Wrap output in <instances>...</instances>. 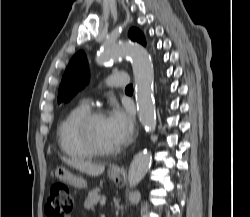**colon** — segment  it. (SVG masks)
<instances>
[{
	"instance_id": "1",
	"label": "colon",
	"mask_w": 250,
	"mask_h": 217,
	"mask_svg": "<svg viewBox=\"0 0 250 217\" xmlns=\"http://www.w3.org/2000/svg\"><path fill=\"white\" fill-rule=\"evenodd\" d=\"M72 208L73 200L67 185L63 183L54 184L45 205L48 217H69Z\"/></svg>"
}]
</instances>
